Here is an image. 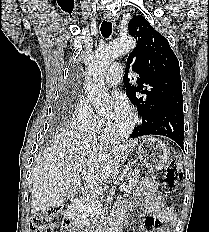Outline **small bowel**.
Returning <instances> with one entry per match:
<instances>
[{
	"label": "small bowel",
	"mask_w": 209,
	"mask_h": 232,
	"mask_svg": "<svg viewBox=\"0 0 209 232\" xmlns=\"http://www.w3.org/2000/svg\"><path fill=\"white\" fill-rule=\"evenodd\" d=\"M143 204L146 207L148 216L143 219L141 226L136 232H169L156 222L172 225L176 221L175 214L165 202L162 193L158 189L156 182L150 179H143L135 195V200L129 203L130 207H137ZM125 217L124 207H119L115 212L117 223L123 221ZM65 232V231H62Z\"/></svg>",
	"instance_id": "obj_1"
}]
</instances>
